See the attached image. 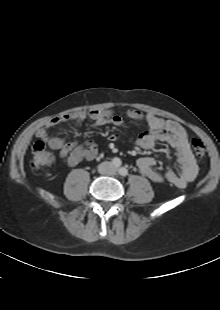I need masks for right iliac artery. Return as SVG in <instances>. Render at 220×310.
<instances>
[{"label":"right iliac artery","mask_w":220,"mask_h":310,"mask_svg":"<svg viewBox=\"0 0 220 310\" xmlns=\"http://www.w3.org/2000/svg\"><path fill=\"white\" fill-rule=\"evenodd\" d=\"M112 164L114 165V167L118 168L121 165V160L116 157L112 160Z\"/></svg>","instance_id":"obj_1"}]
</instances>
